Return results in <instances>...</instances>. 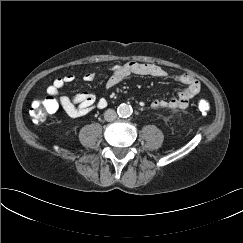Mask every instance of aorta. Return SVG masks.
<instances>
[{"label": "aorta", "instance_id": "1", "mask_svg": "<svg viewBox=\"0 0 243 243\" xmlns=\"http://www.w3.org/2000/svg\"><path fill=\"white\" fill-rule=\"evenodd\" d=\"M132 107L128 104L118 106L117 113L120 117H129L132 114Z\"/></svg>", "mask_w": 243, "mask_h": 243}]
</instances>
